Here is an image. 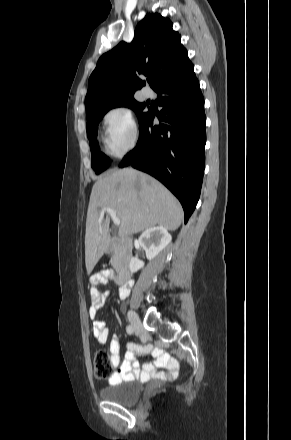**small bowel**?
I'll return each mask as SVG.
<instances>
[{"mask_svg":"<svg viewBox=\"0 0 291 440\" xmlns=\"http://www.w3.org/2000/svg\"><path fill=\"white\" fill-rule=\"evenodd\" d=\"M115 274L112 271L104 270L103 272L95 275L89 281L90 291V309L89 316L94 320L92 333L93 337L99 344L106 343L109 335V329L105 326L103 320L97 319L98 310L105 302L108 292L101 294L98 290V284L106 285L109 279H113ZM133 283H122L120 288V297L125 299L132 287ZM120 341L119 338L114 335L110 345V357L109 361L113 368L112 374L108 378L110 385H115L123 381L133 380L134 378L146 379L153 377L156 379H165L173 377L178 370L179 362L175 357H171L165 353L161 348L154 346L153 344H146L140 347V352H153L157 354V359L154 362H147L144 368L141 369L138 361L135 358L133 352L129 351L124 361H121L120 357ZM162 368L164 371L158 370Z\"/></svg>","mask_w":291,"mask_h":440,"instance_id":"1","label":"small bowel"}]
</instances>
